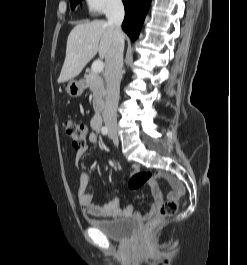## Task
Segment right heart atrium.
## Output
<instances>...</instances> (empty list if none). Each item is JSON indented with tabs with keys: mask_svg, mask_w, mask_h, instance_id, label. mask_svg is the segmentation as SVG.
<instances>
[{
	"mask_svg": "<svg viewBox=\"0 0 247 265\" xmlns=\"http://www.w3.org/2000/svg\"><path fill=\"white\" fill-rule=\"evenodd\" d=\"M86 4L91 12L105 13L117 9L121 0H86Z\"/></svg>",
	"mask_w": 247,
	"mask_h": 265,
	"instance_id": "d8ad5b80",
	"label": "right heart atrium"
}]
</instances>
